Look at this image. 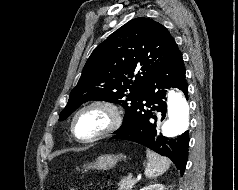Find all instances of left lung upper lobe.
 <instances>
[{
	"mask_svg": "<svg viewBox=\"0 0 238 190\" xmlns=\"http://www.w3.org/2000/svg\"><path fill=\"white\" fill-rule=\"evenodd\" d=\"M178 51L175 40L160 23L149 18L127 22L92 52L59 120L86 101L105 100L124 107V123L149 79Z\"/></svg>",
	"mask_w": 238,
	"mask_h": 190,
	"instance_id": "5c2ea615",
	"label": "left lung upper lobe"
}]
</instances>
